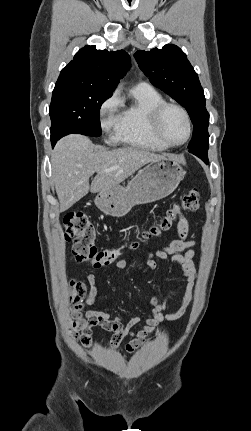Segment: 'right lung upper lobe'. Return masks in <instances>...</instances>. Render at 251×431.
<instances>
[{"mask_svg":"<svg viewBox=\"0 0 251 431\" xmlns=\"http://www.w3.org/2000/svg\"><path fill=\"white\" fill-rule=\"evenodd\" d=\"M130 66L124 50H98L85 46L61 70L56 83L68 82L112 93Z\"/></svg>","mask_w":251,"mask_h":431,"instance_id":"obj_1","label":"right lung upper lobe"}]
</instances>
